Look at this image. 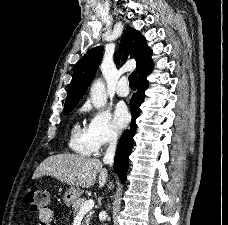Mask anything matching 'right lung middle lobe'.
Listing matches in <instances>:
<instances>
[{
    "label": "right lung middle lobe",
    "mask_w": 228,
    "mask_h": 225,
    "mask_svg": "<svg viewBox=\"0 0 228 225\" xmlns=\"http://www.w3.org/2000/svg\"><path fill=\"white\" fill-rule=\"evenodd\" d=\"M76 105L77 104H73V105L65 107L64 115H67L68 113H70Z\"/></svg>",
    "instance_id": "obj_1"
}]
</instances>
